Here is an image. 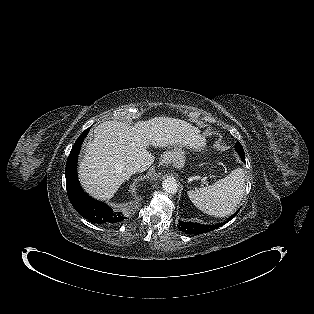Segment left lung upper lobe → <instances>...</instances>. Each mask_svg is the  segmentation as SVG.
I'll return each instance as SVG.
<instances>
[{"label":"left lung upper lobe","instance_id":"1","mask_svg":"<svg viewBox=\"0 0 314 314\" xmlns=\"http://www.w3.org/2000/svg\"><path fill=\"white\" fill-rule=\"evenodd\" d=\"M235 149H236V151H237L239 154H244L243 147H242V145H241L239 142L236 143Z\"/></svg>","mask_w":314,"mask_h":314}]
</instances>
